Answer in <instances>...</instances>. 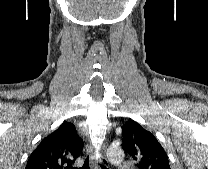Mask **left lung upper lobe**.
I'll list each match as a JSON object with an SVG mask.
<instances>
[{
    "label": "left lung upper lobe",
    "instance_id": "obj_1",
    "mask_svg": "<svg viewBox=\"0 0 208 169\" xmlns=\"http://www.w3.org/2000/svg\"><path fill=\"white\" fill-rule=\"evenodd\" d=\"M123 149L136 161L138 169H170L166 152L157 139L137 122L122 126Z\"/></svg>",
    "mask_w": 208,
    "mask_h": 169
}]
</instances>
